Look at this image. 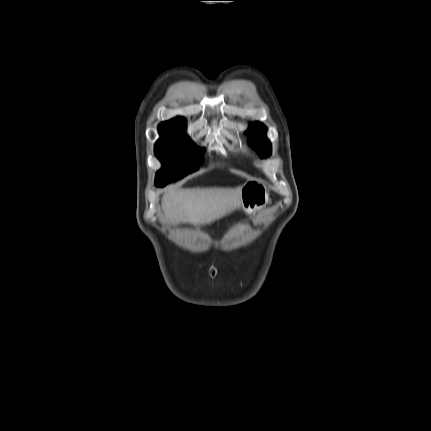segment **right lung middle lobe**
Returning a JSON list of instances; mask_svg holds the SVG:
<instances>
[{
	"label": "right lung middle lobe",
	"mask_w": 431,
	"mask_h": 431,
	"mask_svg": "<svg viewBox=\"0 0 431 431\" xmlns=\"http://www.w3.org/2000/svg\"><path fill=\"white\" fill-rule=\"evenodd\" d=\"M161 138L155 143L154 152L161 161L155 185L163 187L199 169L205 149L198 148L183 130L158 127Z\"/></svg>",
	"instance_id": "right-lung-middle-lobe-1"
}]
</instances>
